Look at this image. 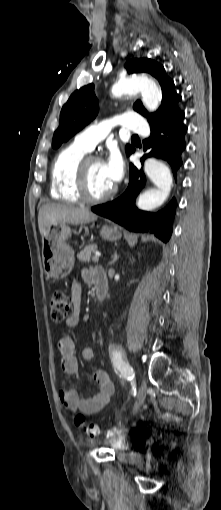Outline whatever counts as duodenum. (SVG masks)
Here are the masks:
<instances>
[{"label": "duodenum", "instance_id": "duodenum-1", "mask_svg": "<svg viewBox=\"0 0 221 510\" xmlns=\"http://www.w3.org/2000/svg\"><path fill=\"white\" fill-rule=\"evenodd\" d=\"M93 280L96 289V295L99 300H103L108 292V280L103 268L97 267L93 272Z\"/></svg>", "mask_w": 221, "mask_h": 510}]
</instances>
